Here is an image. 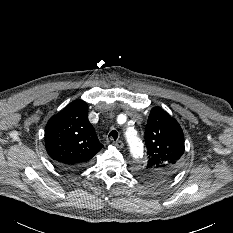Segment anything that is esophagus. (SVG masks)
Returning <instances> with one entry per match:
<instances>
[{
  "label": "esophagus",
  "instance_id": "1",
  "mask_svg": "<svg viewBox=\"0 0 233 233\" xmlns=\"http://www.w3.org/2000/svg\"><path fill=\"white\" fill-rule=\"evenodd\" d=\"M113 144L117 147V148H123L124 143L121 140H117L114 141Z\"/></svg>",
  "mask_w": 233,
  "mask_h": 233
}]
</instances>
